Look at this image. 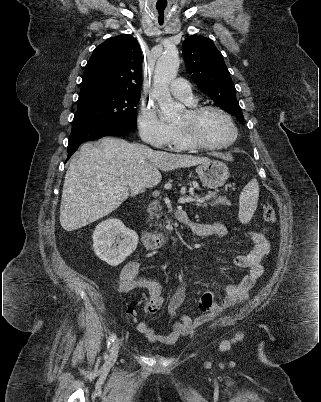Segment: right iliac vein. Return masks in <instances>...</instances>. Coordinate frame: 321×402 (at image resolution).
I'll return each instance as SVG.
<instances>
[{
	"label": "right iliac vein",
	"mask_w": 321,
	"mask_h": 402,
	"mask_svg": "<svg viewBox=\"0 0 321 402\" xmlns=\"http://www.w3.org/2000/svg\"><path fill=\"white\" fill-rule=\"evenodd\" d=\"M118 351H119V341H115L110 349L109 356H108V361L109 362H114L117 359L118 356Z\"/></svg>",
	"instance_id": "right-iliac-vein-1"
}]
</instances>
